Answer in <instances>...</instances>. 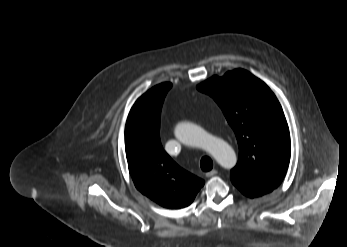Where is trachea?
I'll list each match as a JSON object with an SVG mask.
<instances>
[{
	"instance_id": "obj_1",
	"label": "trachea",
	"mask_w": 347,
	"mask_h": 247,
	"mask_svg": "<svg viewBox=\"0 0 347 247\" xmlns=\"http://www.w3.org/2000/svg\"><path fill=\"white\" fill-rule=\"evenodd\" d=\"M200 167L203 171L207 172L213 168V162L210 157H202L200 161Z\"/></svg>"
}]
</instances>
